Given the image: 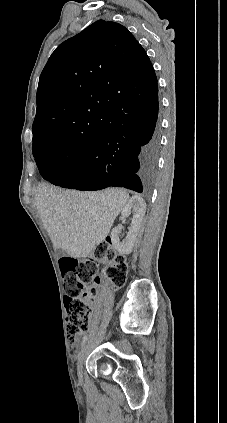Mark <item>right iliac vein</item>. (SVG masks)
Wrapping results in <instances>:
<instances>
[{
    "mask_svg": "<svg viewBox=\"0 0 227 423\" xmlns=\"http://www.w3.org/2000/svg\"><path fill=\"white\" fill-rule=\"evenodd\" d=\"M88 350H89V344H86L83 347V349H82V351L80 353V356L78 358V362H77V373H78L79 378L82 376L83 363H84L85 356H86Z\"/></svg>",
    "mask_w": 227,
    "mask_h": 423,
    "instance_id": "63e3f726",
    "label": "right iliac vein"
}]
</instances>
